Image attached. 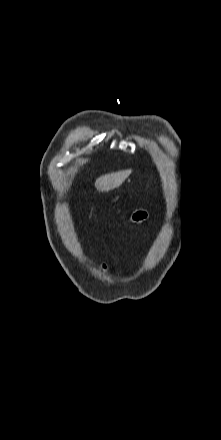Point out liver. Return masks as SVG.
<instances>
[{"label":"liver","mask_w":221,"mask_h":440,"mask_svg":"<svg viewBox=\"0 0 221 440\" xmlns=\"http://www.w3.org/2000/svg\"><path fill=\"white\" fill-rule=\"evenodd\" d=\"M130 174L131 170H124L103 175L96 180L95 187L98 191L108 192L122 185Z\"/></svg>","instance_id":"obj_1"}]
</instances>
